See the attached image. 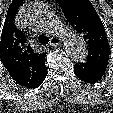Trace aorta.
Returning <instances> with one entry per match:
<instances>
[{"label":"aorta","instance_id":"762f6f07","mask_svg":"<svg viewBox=\"0 0 113 113\" xmlns=\"http://www.w3.org/2000/svg\"><path fill=\"white\" fill-rule=\"evenodd\" d=\"M40 17L49 32L62 36L66 52L71 59L76 63L85 62L88 52L81 37L49 12H42Z\"/></svg>","mask_w":113,"mask_h":113}]
</instances>
